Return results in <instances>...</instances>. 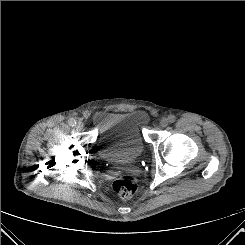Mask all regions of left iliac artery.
I'll list each match as a JSON object with an SVG mask.
<instances>
[{"label": "left iliac artery", "instance_id": "left-iliac-artery-1", "mask_svg": "<svg viewBox=\"0 0 245 245\" xmlns=\"http://www.w3.org/2000/svg\"><path fill=\"white\" fill-rule=\"evenodd\" d=\"M168 120L170 123H173V122H175L176 117L174 115H169Z\"/></svg>", "mask_w": 245, "mask_h": 245}]
</instances>
